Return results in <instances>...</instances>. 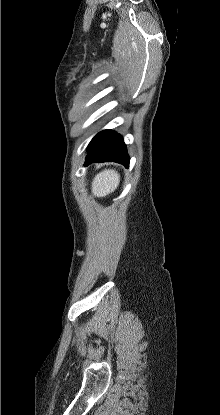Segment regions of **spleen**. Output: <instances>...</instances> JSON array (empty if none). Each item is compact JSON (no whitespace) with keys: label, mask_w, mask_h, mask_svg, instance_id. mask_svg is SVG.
<instances>
[{"label":"spleen","mask_w":220,"mask_h":415,"mask_svg":"<svg viewBox=\"0 0 220 415\" xmlns=\"http://www.w3.org/2000/svg\"><path fill=\"white\" fill-rule=\"evenodd\" d=\"M120 183V175L115 170H104L92 182V193L97 197L114 192Z\"/></svg>","instance_id":"spleen-1"}]
</instances>
